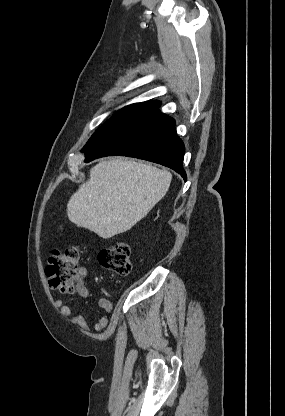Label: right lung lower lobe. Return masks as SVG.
<instances>
[{
	"mask_svg": "<svg viewBox=\"0 0 285 416\" xmlns=\"http://www.w3.org/2000/svg\"><path fill=\"white\" fill-rule=\"evenodd\" d=\"M185 147L177 136L175 121L157 112L84 151L85 162L105 156H129L167 166L186 181Z\"/></svg>",
	"mask_w": 285,
	"mask_h": 416,
	"instance_id": "obj_1",
	"label": "right lung lower lobe"
}]
</instances>
